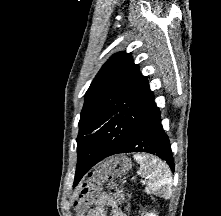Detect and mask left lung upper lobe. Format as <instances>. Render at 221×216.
I'll return each mask as SVG.
<instances>
[{"instance_id":"obj_1","label":"left lung upper lobe","mask_w":221,"mask_h":216,"mask_svg":"<svg viewBox=\"0 0 221 216\" xmlns=\"http://www.w3.org/2000/svg\"><path fill=\"white\" fill-rule=\"evenodd\" d=\"M153 105L154 94L148 80L134 64L131 54L113 55L85 94L77 137L76 173L85 150L100 144L118 150L133 136Z\"/></svg>"}]
</instances>
